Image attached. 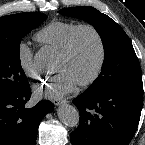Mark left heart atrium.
Listing matches in <instances>:
<instances>
[{
    "instance_id": "left-heart-atrium-1",
    "label": "left heart atrium",
    "mask_w": 145,
    "mask_h": 145,
    "mask_svg": "<svg viewBox=\"0 0 145 145\" xmlns=\"http://www.w3.org/2000/svg\"><path fill=\"white\" fill-rule=\"evenodd\" d=\"M77 84L78 82L73 75L63 70L36 86L34 92L37 97L57 99L74 91Z\"/></svg>"
}]
</instances>
